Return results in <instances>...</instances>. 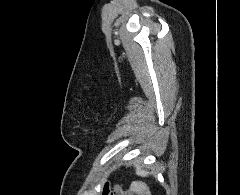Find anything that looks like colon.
<instances>
[{
  "instance_id": "1",
  "label": "colon",
  "mask_w": 240,
  "mask_h": 195,
  "mask_svg": "<svg viewBox=\"0 0 240 195\" xmlns=\"http://www.w3.org/2000/svg\"><path fill=\"white\" fill-rule=\"evenodd\" d=\"M110 189L108 184H104L102 188V195H110ZM113 195H131L130 192H121L119 189H116L115 192H112Z\"/></svg>"
}]
</instances>
